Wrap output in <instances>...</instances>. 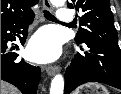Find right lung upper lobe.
<instances>
[{
	"mask_svg": "<svg viewBox=\"0 0 121 94\" xmlns=\"http://www.w3.org/2000/svg\"><path fill=\"white\" fill-rule=\"evenodd\" d=\"M37 2L38 0H1V23L31 13V7Z\"/></svg>",
	"mask_w": 121,
	"mask_h": 94,
	"instance_id": "obj_1",
	"label": "right lung upper lobe"
}]
</instances>
